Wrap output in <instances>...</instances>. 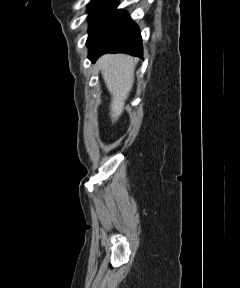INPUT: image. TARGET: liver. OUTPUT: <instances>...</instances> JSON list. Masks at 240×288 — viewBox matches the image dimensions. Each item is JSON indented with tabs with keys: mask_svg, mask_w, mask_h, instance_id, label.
<instances>
[{
	"mask_svg": "<svg viewBox=\"0 0 240 288\" xmlns=\"http://www.w3.org/2000/svg\"><path fill=\"white\" fill-rule=\"evenodd\" d=\"M138 61L129 55L108 54L97 62L106 87L112 95L110 115L113 122L118 120L123 112L125 101L133 87L134 71Z\"/></svg>",
	"mask_w": 240,
	"mask_h": 288,
	"instance_id": "obj_1",
	"label": "liver"
}]
</instances>
